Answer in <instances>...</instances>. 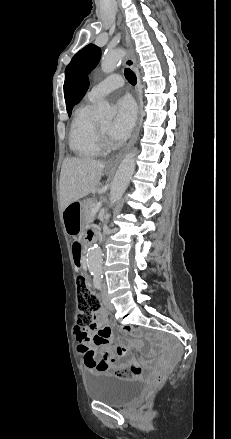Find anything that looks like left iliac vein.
<instances>
[{"mask_svg": "<svg viewBox=\"0 0 231 439\" xmlns=\"http://www.w3.org/2000/svg\"><path fill=\"white\" fill-rule=\"evenodd\" d=\"M101 296H102L103 303H104L105 307H106L108 310H111V311L114 310V306H113V304L110 302V299H109V297H108L107 286H106L105 283H103V284H102V287H101Z\"/></svg>", "mask_w": 231, "mask_h": 439, "instance_id": "left-iliac-vein-1", "label": "left iliac vein"}]
</instances>
